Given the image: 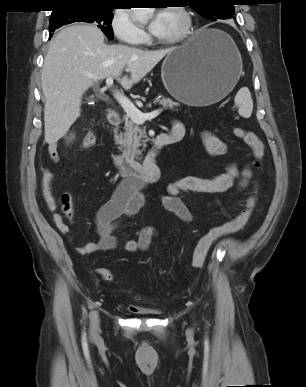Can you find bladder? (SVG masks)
I'll return each mask as SVG.
<instances>
[{
    "mask_svg": "<svg viewBox=\"0 0 306 387\" xmlns=\"http://www.w3.org/2000/svg\"><path fill=\"white\" fill-rule=\"evenodd\" d=\"M135 313L141 314V315H151V316H157L161 313V310L154 307H148V308H138V310H134Z\"/></svg>",
    "mask_w": 306,
    "mask_h": 387,
    "instance_id": "bladder-1",
    "label": "bladder"
}]
</instances>
